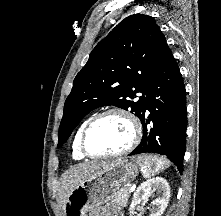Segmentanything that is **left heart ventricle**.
Returning a JSON list of instances; mask_svg holds the SVG:
<instances>
[{
    "instance_id": "left-heart-ventricle-1",
    "label": "left heart ventricle",
    "mask_w": 221,
    "mask_h": 216,
    "mask_svg": "<svg viewBox=\"0 0 221 216\" xmlns=\"http://www.w3.org/2000/svg\"><path fill=\"white\" fill-rule=\"evenodd\" d=\"M132 137L129 122L119 115H108L89 130L86 144L92 153H111L125 148Z\"/></svg>"
}]
</instances>
